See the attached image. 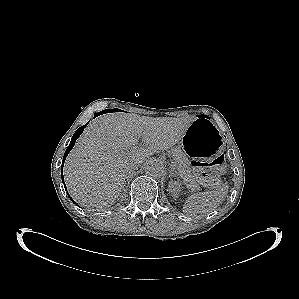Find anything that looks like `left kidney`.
<instances>
[{"instance_id":"left-kidney-1","label":"left kidney","mask_w":299,"mask_h":299,"mask_svg":"<svg viewBox=\"0 0 299 299\" xmlns=\"http://www.w3.org/2000/svg\"><path fill=\"white\" fill-rule=\"evenodd\" d=\"M169 192L171 193V195L173 197H178V195L180 194L182 187H181V183L179 181H171L169 182Z\"/></svg>"}]
</instances>
